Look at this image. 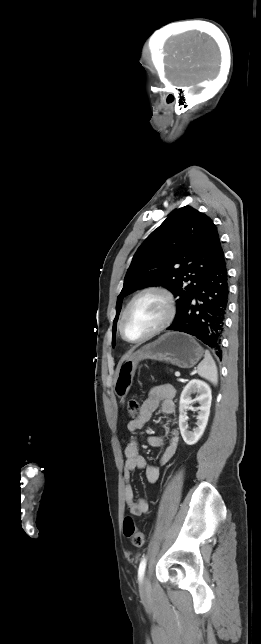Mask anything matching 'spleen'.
<instances>
[{
    "instance_id": "3e777b00",
    "label": "spleen",
    "mask_w": 261,
    "mask_h": 644,
    "mask_svg": "<svg viewBox=\"0 0 261 644\" xmlns=\"http://www.w3.org/2000/svg\"><path fill=\"white\" fill-rule=\"evenodd\" d=\"M197 372L199 376L210 381L214 385L218 383V371L210 352L205 351L204 359L200 362L197 367Z\"/></svg>"
}]
</instances>
